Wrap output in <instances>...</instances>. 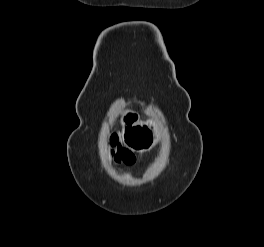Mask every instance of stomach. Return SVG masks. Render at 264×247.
<instances>
[{
  "mask_svg": "<svg viewBox=\"0 0 264 247\" xmlns=\"http://www.w3.org/2000/svg\"><path fill=\"white\" fill-rule=\"evenodd\" d=\"M122 140L130 148L143 152L151 149L159 137L158 123L154 120L136 122L129 115L121 120Z\"/></svg>",
  "mask_w": 264,
  "mask_h": 247,
  "instance_id": "0dacf381",
  "label": "stomach"
}]
</instances>
